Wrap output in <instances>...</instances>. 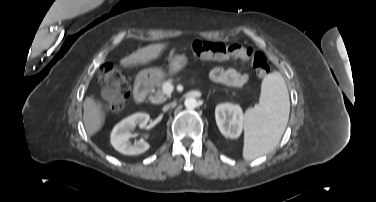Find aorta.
I'll list each match as a JSON object with an SVG mask.
<instances>
[{"mask_svg":"<svg viewBox=\"0 0 376 202\" xmlns=\"http://www.w3.org/2000/svg\"><path fill=\"white\" fill-rule=\"evenodd\" d=\"M184 105L187 109H194L197 107V100L194 97H188L185 99Z\"/></svg>","mask_w":376,"mask_h":202,"instance_id":"762f6f07","label":"aorta"}]
</instances>
